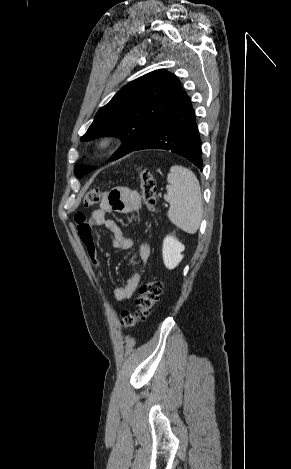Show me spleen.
Returning a JSON list of instances; mask_svg holds the SVG:
<instances>
[{
    "label": "spleen",
    "instance_id": "spleen-1",
    "mask_svg": "<svg viewBox=\"0 0 291 469\" xmlns=\"http://www.w3.org/2000/svg\"><path fill=\"white\" fill-rule=\"evenodd\" d=\"M167 181L164 200L170 204L168 218L186 233H196L203 214L202 194L197 177L191 170L175 165L171 167Z\"/></svg>",
    "mask_w": 291,
    "mask_h": 469
}]
</instances>
